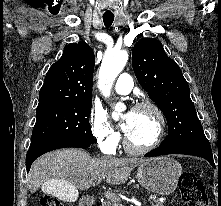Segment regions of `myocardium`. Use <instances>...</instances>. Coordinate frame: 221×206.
<instances>
[{
	"label": "myocardium",
	"instance_id": "myocardium-1",
	"mask_svg": "<svg viewBox=\"0 0 221 206\" xmlns=\"http://www.w3.org/2000/svg\"><path fill=\"white\" fill-rule=\"evenodd\" d=\"M141 109H149L150 111L154 113L156 120H157V132H156L154 139L149 144L145 146H141V147L132 145L127 135L124 136L123 146L125 150L136 155L145 154L155 149L162 141L164 133H165V127H166L164 114L156 103L150 100H144V101L137 103L133 107V111L141 110Z\"/></svg>",
	"mask_w": 221,
	"mask_h": 206
}]
</instances>
